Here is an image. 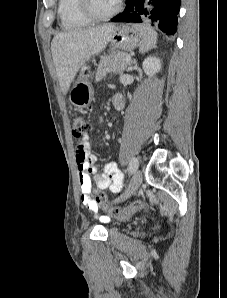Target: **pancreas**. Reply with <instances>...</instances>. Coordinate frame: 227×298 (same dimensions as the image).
<instances>
[{
    "label": "pancreas",
    "mask_w": 227,
    "mask_h": 298,
    "mask_svg": "<svg viewBox=\"0 0 227 298\" xmlns=\"http://www.w3.org/2000/svg\"><path fill=\"white\" fill-rule=\"evenodd\" d=\"M126 56H128L127 53L119 52L102 57L98 64L95 81L102 80L107 73L115 72L122 74L129 65V62L124 60Z\"/></svg>",
    "instance_id": "cf45deb5"
}]
</instances>
